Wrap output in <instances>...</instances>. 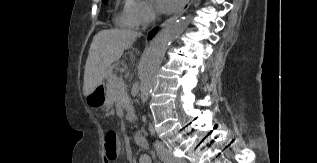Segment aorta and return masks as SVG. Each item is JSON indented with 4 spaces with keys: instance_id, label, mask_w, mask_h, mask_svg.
I'll return each instance as SVG.
<instances>
[{
    "instance_id": "762f6f07",
    "label": "aorta",
    "mask_w": 317,
    "mask_h": 163,
    "mask_svg": "<svg viewBox=\"0 0 317 163\" xmlns=\"http://www.w3.org/2000/svg\"><path fill=\"white\" fill-rule=\"evenodd\" d=\"M200 0H196L195 7ZM191 16L174 20L167 24L151 41L139 68L140 98L144 105L155 85L156 74L169 45L188 27Z\"/></svg>"
}]
</instances>
